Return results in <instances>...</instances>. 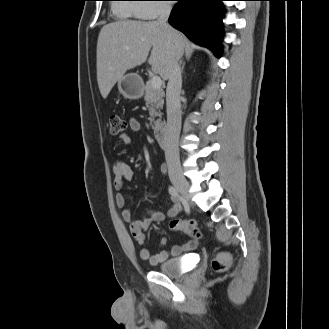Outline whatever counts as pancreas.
<instances>
[{
	"label": "pancreas",
	"instance_id": "cf45deb5",
	"mask_svg": "<svg viewBox=\"0 0 329 329\" xmlns=\"http://www.w3.org/2000/svg\"><path fill=\"white\" fill-rule=\"evenodd\" d=\"M164 91L162 88L155 89L152 87L150 80L145 85V96L146 106L149 108L150 122H154L157 127L160 123V119L155 120L156 117H161L160 109L164 104Z\"/></svg>",
	"mask_w": 329,
	"mask_h": 329
}]
</instances>
